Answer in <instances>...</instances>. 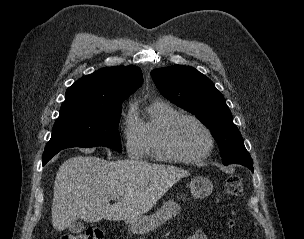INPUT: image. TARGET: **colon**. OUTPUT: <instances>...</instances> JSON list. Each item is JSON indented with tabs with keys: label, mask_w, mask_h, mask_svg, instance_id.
I'll return each instance as SVG.
<instances>
[{
	"label": "colon",
	"mask_w": 304,
	"mask_h": 239,
	"mask_svg": "<svg viewBox=\"0 0 304 239\" xmlns=\"http://www.w3.org/2000/svg\"><path fill=\"white\" fill-rule=\"evenodd\" d=\"M244 180L242 177L234 176L226 180L224 194L229 199H236L243 193ZM104 232L99 228H89L81 233H70L60 236L58 239H103Z\"/></svg>",
	"instance_id": "1"
}]
</instances>
